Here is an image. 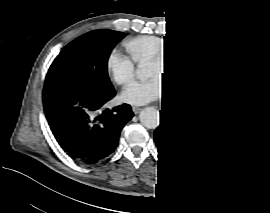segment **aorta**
<instances>
[{"label":"aorta","instance_id":"obj_1","mask_svg":"<svg viewBox=\"0 0 270 213\" xmlns=\"http://www.w3.org/2000/svg\"><path fill=\"white\" fill-rule=\"evenodd\" d=\"M143 125L154 128L159 123V112L153 107L145 108L140 114Z\"/></svg>","mask_w":270,"mask_h":213}]
</instances>
